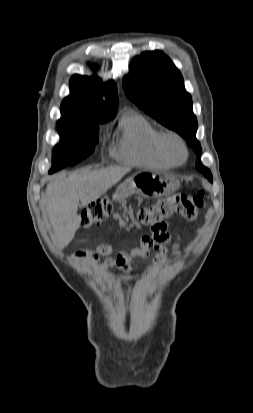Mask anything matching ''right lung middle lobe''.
<instances>
[{"label":"right lung middle lobe","mask_w":253,"mask_h":413,"mask_svg":"<svg viewBox=\"0 0 253 413\" xmlns=\"http://www.w3.org/2000/svg\"><path fill=\"white\" fill-rule=\"evenodd\" d=\"M113 117L106 119H60L57 122L60 143L54 147L52 157L53 173L68 165L72 166L89 156L98 142V123H104Z\"/></svg>","instance_id":"1"}]
</instances>
